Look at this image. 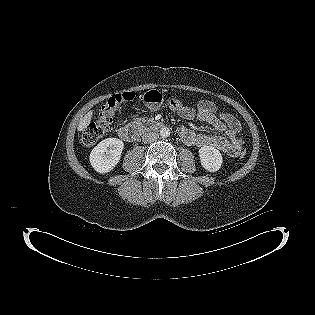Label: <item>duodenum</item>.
<instances>
[{"label": "duodenum", "mask_w": 315, "mask_h": 315, "mask_svg": "<svg viewBox=\"0 0 315 315\" xmlns=\"http://www.w3.org/2000/svg\"><path fill=\"white\" fill-rule=\"evenodd\" d=\"M162 127V124L153 120L142 119L129 123L121 127L118 131L119 136L125 141H135L138 137L147 131L156 130Z\"/></svg>", "instance_id": "1"}]
</instances>
